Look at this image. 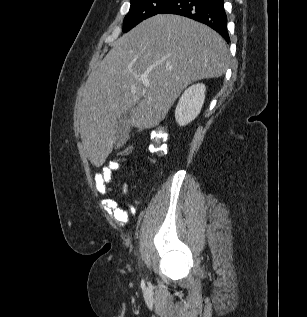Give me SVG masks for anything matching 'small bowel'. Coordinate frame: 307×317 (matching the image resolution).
<instances>
[{
  "label": "small bowel",
  "mask_w": 307,
  "mask_h": 317,
  "mask_svg": "<svg viewBox=\"0 0 307 317\" xmlns=\"http://www.w3.org/2000/svg\"><path fill=\"white\" fill-rule=\"evenodd\" d=\"M123 163H127V159L124 157L113 159L107 166L102 168L101 172L95 175L96 189L103 195L102 205L118 227H124L129 221L130 215L135 213V207L133 205H129V211H126L120 207L117 200L106 197L108 187L113 181V174L120 171ZM122 193L124 195L127 194L126 187H123Z\"/></svg>",
  "instance_id": "1"
}]
</instances>
